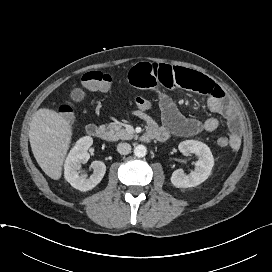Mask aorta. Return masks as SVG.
<instances>
[{
  "instance_id": "obj_1",
  "label": "aorta",
  "mask_w": 272,
  "mask_h": 272,
  "mask_svg": "<svg viewBox=\"0 0 272 272\" xmlns=\"http://www.w3.org/2000/svg\"><path fill=\"white\" fill-rule=\"evenodd\" d=\"M147 153V149L144 145H138L134 148V155L136 157H144Z\"/></svg>"
}]
</instances>
